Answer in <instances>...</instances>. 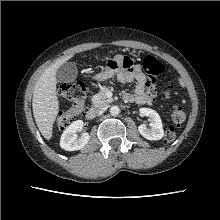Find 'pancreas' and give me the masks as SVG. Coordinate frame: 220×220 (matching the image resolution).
Listing matches in <instances>:
<instances>
[{
  "mask_svg": "<svg viewBox=\"0 0 220 220\" xmlns=\"http://www.w3.org/2000/svg\"><path fill=\"white\" fill-rule=\"evenodd\" d=\"M107 89L104 87L98 94H95L91 101L95 107H104L113 101L112 98L106 96Z\"/></svg>",
  "mask_w": 220,
  "mask_h": 220,
  "instance_id": "1",
  "label": "pancreas"
}]
</instances>
